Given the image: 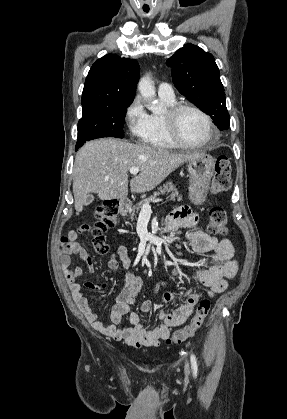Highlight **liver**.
I'll return each instance as SVG.
<instances>
[{
  "label": "liver",
  "instance_id": "6515ba94",
  "mask_svg": "<svg viewBox=\"0 0 287 419\" xmlns=\"http://www.w3.org/2000/svg\"><path fill=\"white\" fill-rule=\"evenodd\" d=\"M200 152L177 153L164 148L102 138L86 143L77 152L73 169L74 206L78 215L90 193L101 200L123 199L128 194V172L139 175L130 181L131 192L144 193L157 187L180 165Z\"/></svg>",
  "mask_w": 287,
  "mask_h": 419
}]
</instances>
